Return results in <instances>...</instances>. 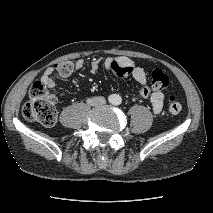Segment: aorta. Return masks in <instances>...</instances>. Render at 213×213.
Segmentation results:
<instances>
[{"instance_id":"1","label":"aorta","mask_w":213,"mask_h":213,"mask_svg":"<svg viewBox=\"0 0 213 213\" xmlns=\"http://www.w3.org/2000/svg\"><path fill=\"white\" fill-rule=\"evenodd\" d=\"M109 101L113 105H120L122 102V98L119 94H112L109 97Z\"/></svg>"}]
</instances>
